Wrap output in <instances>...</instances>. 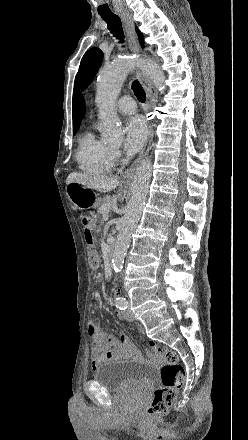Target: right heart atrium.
<instances>
[{
  "label": "right heart atrium",
  "mask_w": 248,
  "mask_h": 440,
  "mask_svg": "<svg viewBox=\"0 0 248 440\" xmlns=\"http://www.w3.org/2000/svg\"><path fill=\"white\" fill-rule=\"evenodd\" d=\"M120 156H121V153L118 149H115V148L110 149V160H111L112 164L118 162L120 159Z\"/></svg>",
  "instance_id": "right-heart-atrium-1"
}]
</instances>
